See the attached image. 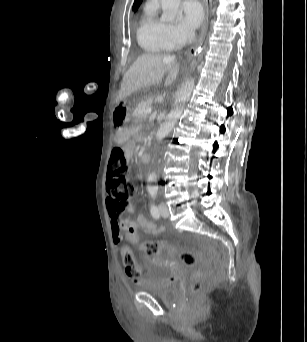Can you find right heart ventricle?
Returning <instances> with one entry per match:
<instances>
[{"mask_svg":"<svg viewBox=\"0 0 307 342\" xmlns=\"http://www.w3.org/2000/svg\"><path fill=\"white\" fill-rule=\"evenodd\" d=\"M152 24H155L154 20ZM137 42L145 55L159 54L167 50V44L156 33H138Z\"/></svg>","mask_w":307,"mask_h":342,"instance_id":"1","label":"right heart ventricle"}]
</instances>
